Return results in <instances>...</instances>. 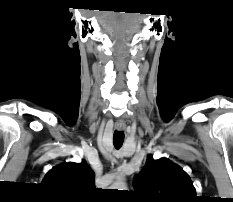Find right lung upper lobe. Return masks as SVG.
Here are the masks:
<instances>
[{
  "label": "right lung upper lobe",
  "instance_id": "1",
  "mask_svg": "<svg viewBox=\"0 0 233 202\" xmlns=\"http://www.w3.org/2000/svg\"><path fill=\"white\" fill-rule=\"evenodd\" d=\"M94 172L82 163H64L50 170L42 184L52 190L69 195H82L95 188Z\"/></svg>",
  "mask_w": 233,
  "mask_h": 202
}]
</instances>
